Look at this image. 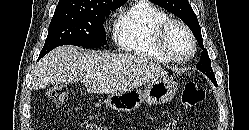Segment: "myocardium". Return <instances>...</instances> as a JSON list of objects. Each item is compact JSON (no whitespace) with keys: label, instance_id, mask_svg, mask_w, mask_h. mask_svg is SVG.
<instances>
[{"label":"myocardium","instance_id":"myocardium-1","mask_svg":"<svg viewBox=\"0 0 249 130\" xmlns=\"http://www.w3.org/2000/svg\"><path fill=\"white\" fill-rule=\"evenodd\" d=\"M174 27L181 28L187 34L190 40L191 51L189 55L185 58H178L169 51L168 44H167L168 36ZM156 44H157L158 50L163 55V57H165L168 61L174 62V63L188 62L194 57L196 50H197L196 39L191 29L183 21L178 20V19H173V18H169L168 20H166L159 26L156 32Z\"/></svg>","mask_w":249,"mask_h":130}]
</instances>
